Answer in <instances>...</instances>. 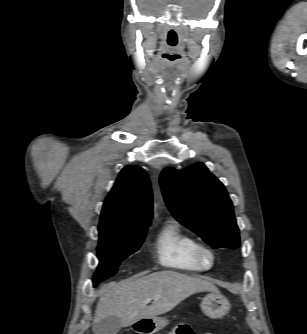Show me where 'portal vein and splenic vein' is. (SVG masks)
<instances>
[{
    "label": "portal vein and splenic vein",
    "instance_id": "portal-vein-and-splenic-vein-1",
    "mask_svg": "<svg viewBox=\"0 0 307 334\" xmlns=\"http://www.w3.org/2000/svg\"><path fill=\"white\" fill-rule=\"evenodd\" d=\"M151 300H152L151 298H146V299L143 300V303L144 304L150 303Z\"/></svg>",
    "mask_w": 307,
    "mask_h": 334
}]
</instances>
